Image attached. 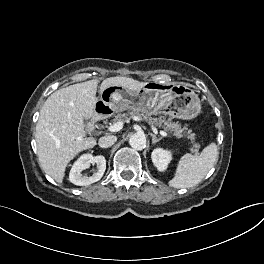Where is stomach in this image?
Masks as SVG:
<instances>
[{"instance_id":"obj_1","label":"stomach","mask_w":264,"mask_h":264,"mask_svg":"<svg viewBox=\"0 0 264 264\" xmlns=\"http://www.w3.org/2000/svg\"><path fill=\"white\" fill-rule=\"evenodd\" d=\"M125 110L149 116L163 113L190 120L200 113L201 101L192 89L182 85L161 89L156 84L147 83L138 91L110 86L101 92L94 112L99 117H108Z\"/></svg>"}]
</instances>
